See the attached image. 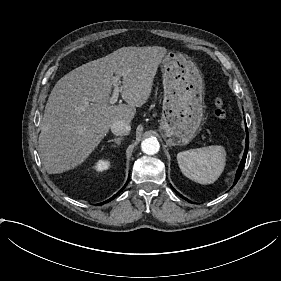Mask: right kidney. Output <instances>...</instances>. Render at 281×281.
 Returning <instances> with one entry per match:
<instances>
[{
	"label": "right kidney",
	"mask_w": 281,
	"mask_h": 281,
	"mask_svg": "<svg viewBox=\"0 0 281 281\" xmlns=\"http://www.w3.org/2000/svg\"><path fill=\"white\" fill-rule=\"evenodd\" d=\"M93 168L97 171V172H103L105 170H108L110 168V161L109 160H105V159H100L98 160L95 165L93 166Z\"/></svg>",
	"instance_id": "right-kidney-1"
}]
</instances>
